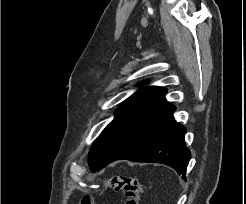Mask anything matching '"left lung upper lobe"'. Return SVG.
Returning <instances> with one entry per match:
<instances>
[{
  "label": "left lung upper lobe",
  "mask_w": 246,
  "mask_h": 204,
  "mask_svg": "<svg viewBox=\"0 0 246 204\" xmlns=\"http://www.w3.org/2000/svg\"><path fill=\"white\" fill-rule=\"evenodd\" d=\"M161 89V87L151 86L142 88L135 92L132 96L125 100L115 111V118L112 121V123L119 119L121 116H123L125 113H127L129 110H131L150 96L160 91ZM112 123H110L108 126H110Z\"/></svg>",
  "instance_id": "5c2ea615"
}]
</instances>
